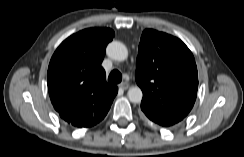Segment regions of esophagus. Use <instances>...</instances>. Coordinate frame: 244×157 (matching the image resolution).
Returning a JSON list of instances; mask_svg holds the SVG:
<instances>
[{
    "mask_svg": "<svg viewBox=\"0 0 244 157\" xmlns=\"http://www.w3.org/2000/svg\"><path fill=\"white\" fill-rule=\"evenodd\" d=\"M119 88L123 89V90H127L129 88V84L127 82H122L119 85Z\"/></svg>",
    "mask_w": 244,
    "mask_h": 157,
    "instance_id": "34e87169",
    "label": "esophagus"
}]
</instances>
